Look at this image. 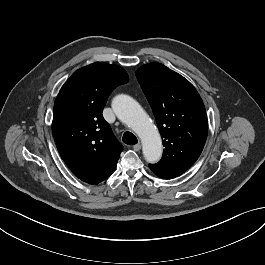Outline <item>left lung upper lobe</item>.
<instances>
[{"label":"left lung upper lobe","mask_w":265,"mask_h":265,"mask_svg":"<svg viewBox=\"0 0 265 265\" xmlns=\"http://www.w3.org/2000/svg\"><path fill=\"white\" fill-rule=\"evenodd\" d=\"M136 77L165 147L162 159L149 164V168L163 179L180 176L196 162L206 142L208 122L204 103L187 79L163 64L143 65L136 71Z\"/></svg>","instance_id":"left-lung-upper-lobe-1"}]
</instances>
